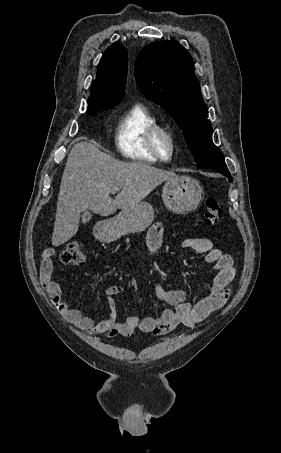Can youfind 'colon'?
Listing matches in <instances>:
<instances>
[{
	"label": "colon",
	"instance_id": "obj_1",
	"mask_svg": "<svg viewBox=\"0 0 281 453\" xmlns=\"http://www.w3.org/2000/svg\"><path fill=\"white\" fill-rule=\"evenodd\" d=\"M203 223L208 227H215L225 222L226 216L220 202L215 197L204 200ZM62 262H86L88 253L82 247L80 240L70 238L65 243V248L60 255Z\"/></svg>",
	"mask_w": 281,
	"mask_h": 453
}]
</instances>
